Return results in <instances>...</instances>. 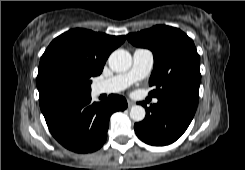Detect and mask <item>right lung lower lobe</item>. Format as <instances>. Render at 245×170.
<instances>
[{"mask_svg": "<svg viewBox=\"0 0 245 170\" xmlns=\"http://www.w3.org/2000/svg\"><path fill=\"white\" fill-rule=\"evenodd\" d=\"M127 108V101L110 95L102 102H91V94L70 101L45 117L54 138L65 148L88 153L98 150L107 138L112 113Z\"/></svg>", "mask_w": 245, "mask_h": 170, "instance_id": "right-lung-lower-lobe-1", "label": "right lung lower lobe"}]
</instances>
